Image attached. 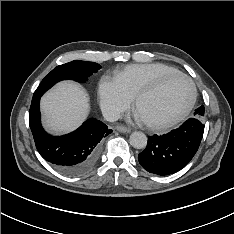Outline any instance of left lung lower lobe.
Segmentation results:
<instances>
[{
    "instance_id": "obj_1",
    "label": "left lung lower lobe",
    "mask_w": 234,
    "mask_h": 234,
    "mask_svg": "<svg viewBox=\"0 0 234 234\" xmlns=\"http://www.w3.org/2000/svg\"><path fill=\"white\" fill-rule=\"evenodd\" d=\"M204 133L202 120L192 117L171 132L148 138L138 155L140 165L157 175L173 174L184 168L197 152Z\"/></svg>"
}]
</instances>
